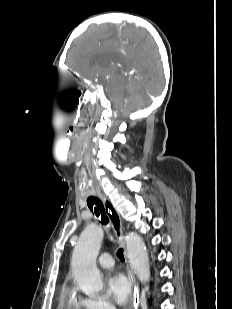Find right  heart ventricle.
I'll list each match as a JSON object with an SVG mask.
<instances>
[{"label":"right heart ventricle","instance_id":"1","mask_svg":"<svg viewBox=\"0 0 232 309\" xmlns=\"http://www.w3.org/2000/svg\"><path fill=\"white\" fill-rule=\"evenodd\" d=\"M65 309H82L76 297L70 298L63 304Z\"/></svg>","mask_w":232,"mask_h":309}]
</instances>
